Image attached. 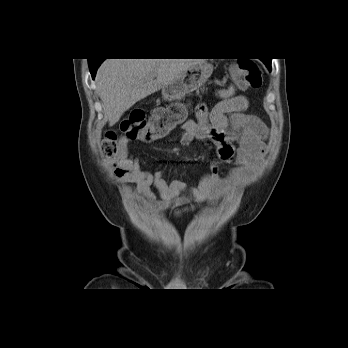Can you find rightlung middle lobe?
I'll return each instance as SVG.
<instances>
[{"mask_svg": "<svg viewBox=\"0 0 348 348\" xmlns=\"http://www.w3.org/2000/svg\"><path fill=\"white\" fill-rule=\"evenodd\" d=\"M97 60H103V59H97ZM91 62V59H89V63Z\"/></svg>", "mask_w": 348, "mask_h": 348, "instance_id": "dd1d6c3e", "label": "right lung middle lobe"}]
</instances>
